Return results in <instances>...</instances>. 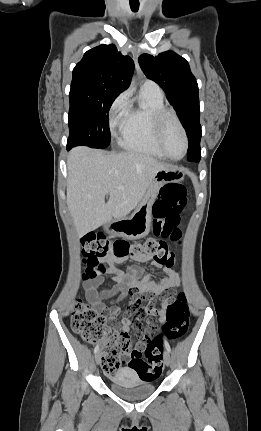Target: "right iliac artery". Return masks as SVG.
<instances>
[{"label":"right iliac artery","instance_id":"right-iliac-artery-1","mask_svg":"<svg viewBox=\"0 0 261 431\" xmlns=\"http://www.w3.org/2000/svg\"><path fill=\"white\" fill-rule=\"evenodd\" d=\"M99 351V345H97L94 349V353L96 354Z\"/></svg>","mask_w":261,"mask_h":431}]
</instances>
